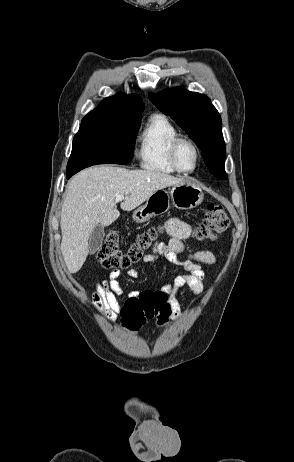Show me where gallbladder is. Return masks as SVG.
Returning <instances> with one entry per match:
<instances>
[{
	"label": "gallbladder",
	"instance_id": "bac80fb5",
	"mask_svg": "<svg viewBox=\"0 0 294 462\" xmlns=\"http://www.w3.org/2000/svg\"><path fill=\"white\" fill-rule=\"evenodd\" d=\"M105 233L104 228L98 224L91 232L88 240V248L90 254L97 252L102 246Z\"/></svg>",
	"mask_w": 294,
	"mask_h": 462
}]
</instances>
